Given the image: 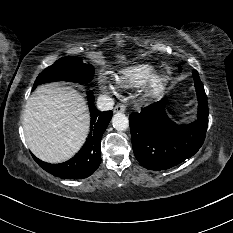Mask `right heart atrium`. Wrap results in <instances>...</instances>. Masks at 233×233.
Wrapping results in <instances>:
<instances>
[{
	"instance_id": "obj_1",
	"label": "right heart atrium",
	"mask_w": 233,
	"mask_h": 233,
	"mask_svg": "<svg viewBox=\"0 0 233 233\" xmlns=\"http://www.w3.org/2000/svg\"><path fill=\"white\" fill-rule=\"evenodd\" d=\"M106 87L108 89H110V90H114L115 89V87L112 84H110V83H107Z\"/></svg>"
}]
</instances>
